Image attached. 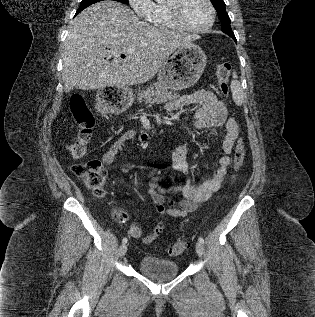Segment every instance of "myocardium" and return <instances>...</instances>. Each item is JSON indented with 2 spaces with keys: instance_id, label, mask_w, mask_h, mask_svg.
Masks as SVG:
<instances>
[{
  "instance_id": "1",
  "label": "myocardium",
  "mask_w": 315,
  "mask_h": 317,
  "mask_svg": "<svg viewBox=\"0 0 315 317\" xmlns=\"http://www.w3.org/2000/svg\"><path fill=\"white\" fill-rule=\"evenodd\" d=\"M204 1L207 4V6L209 8V12H210V18H209V21L206 25H204L202 27H191L183 22L181 15H180V9H181L183 0H169L167 5H165L166 11H167V14H168V17H169L171 23L176 28L183 30V31H187V32L201 33V32H206L207 30H209L215 22L216 10H215V7H214L213 3L211 2V0H204Z\"/></svg>"
}]
</instances>
